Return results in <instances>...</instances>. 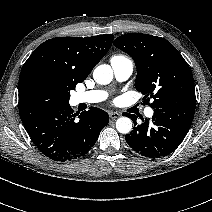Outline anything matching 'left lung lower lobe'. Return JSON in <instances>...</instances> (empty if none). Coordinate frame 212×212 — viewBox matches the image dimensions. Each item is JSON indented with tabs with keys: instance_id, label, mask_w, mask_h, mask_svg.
Instances as JSON below:
<instances>
[{
	"instance_id": "obj_1",
	"label": "left lung lower lobe",
	"mask_w": 212,
	"mask_h": 212,
	"mask_svg": "<svg viewBox=\"0 0 212 212\" xmlns=\"http://www.w3.org/2000/svg\"><path fill=\"white\" fill-rule=\"evenodd\" d=\"M196 102L181 101L154 109L152 120L137 124V116L130 115L133 131L125 136L128 145L137 153L160 158L172 153L183 141L191 126Z\"/></svg>"
}]
</instances>
